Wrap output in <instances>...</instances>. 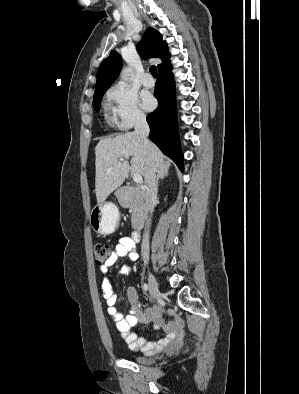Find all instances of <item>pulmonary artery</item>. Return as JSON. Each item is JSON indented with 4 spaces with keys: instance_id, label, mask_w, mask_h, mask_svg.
<instances>
[{
    "instance_id": "pulmonary-artery-1",
    "label": "pulmonary artery",
    "mask_w": 299,
    "mask_h": 394,
    "mask_svg": "<svg viewBox=\"0 0 299 394\" xmlns=\"http://www.w3.org/2000/svg\"><path fill=\"white\" fill-rule=\"evenodd\" d=\"M143 86L145 87H153L154 86V79L149 73H145L141 79Z\"/></svg>"
}]
</instances>
